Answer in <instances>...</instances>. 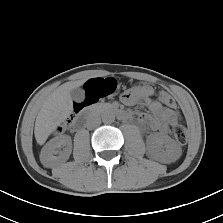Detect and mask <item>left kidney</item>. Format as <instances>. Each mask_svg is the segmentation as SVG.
Segmentation results:
<instances>
[{"mask_svg": "<svg viewBox=\"0 0 223 223\" xmlns=\"http://www.w3.org/2000/svg\"><path fill=\"white\" fill-rule=\"evenodd\" d=\"M148 153L155 160L170 163L180 157L181 149L169 136L154 134L148 139Z\"/></svg>", "mask_w": 223, "mask_h": 223, "instance_id": "obj_1", "label": "left kidney"}]
</instances>
